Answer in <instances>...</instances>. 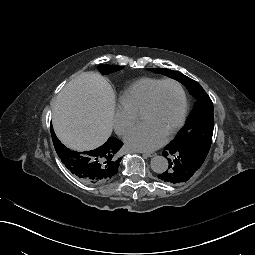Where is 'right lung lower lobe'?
<instances>
[{"label": "right lung lower lobe", "mask_w": 255, "mask_h": 255, "mask_svg": "<svg viewBox=\"0 0 255 255\" xmlns=\"http://www.w3.org/2000/svg\"><path fill=\"white\" fill-rule=\"evenodd\" d=\"M99 158L96 155L85 154L83 156V176L85 178H96L100 175V168L96 166Z\"/></svg>", "instance_id": "obj_1"}]
</instances>
